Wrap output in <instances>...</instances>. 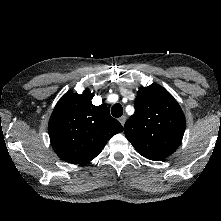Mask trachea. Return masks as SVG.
I'll return each mask as SVG.
<instances>
[{
  "label": "trachea",
  "mask_w": 221,
  "mask_h": 221,
  "mask_svg": "<svg viewBox=\"0 0 221 221\" xmlns=\"http://www.w3.org/2000/svg\"><path fill=\"white\" fill-rule=\"evenodd\" d=\"M111 114L113 117L116 118L121 117L123 114V107L121 106V104H114L111 108Z\"/></svg>",
  "instance_id": "obj_1"
}]
</instances>
